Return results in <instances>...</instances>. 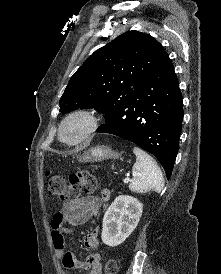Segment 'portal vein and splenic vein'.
Returning <instances> with one entry per match:
<instances>
[{"label": "portal vein and splenic vein", "mask_w": 221, "mask_h": 274, "mask_svg": "<svg viewBox=\"0 0 221 274\" xmlns=\"http://www.w3.org/2000/svg\"><path fill=\"white\" fill-rule=\"evenodd\" d=\"M129 181H130V178H129V177H126V178L123 180L124 183H128Z\"/></svg>", "instance_id": "portal-vein-and-splenic-vein-1"}]
</instances>
